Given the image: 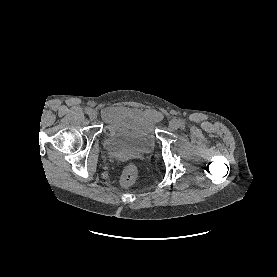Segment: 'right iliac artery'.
<instances>
[{"label": "right iliac artery", "mask_w": 277, "mask_h": 277, "mask_svg": "<svg viewBox=\"0 0 277 277\" xmlns=\"http://www.w3.org/2000/svg\"><path fill=\"white\" fill-rule=\"evenodd\" d=\"M91 111H92V109H91V108H89V107L85 109V112H86L87 114H90V113H91Z\"/></svg>", "instance_id": "right-iliac-artery-1"}]
</instances>
